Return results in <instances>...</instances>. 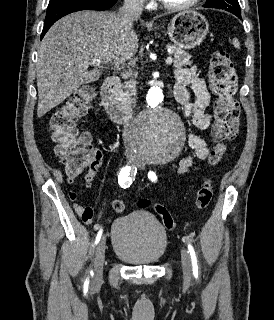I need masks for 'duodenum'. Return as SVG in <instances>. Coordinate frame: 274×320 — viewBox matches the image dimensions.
<instances>
[{
	"mask_svg": "<svg viewBox=\"0 0 274 320\" xmlns=\"http://www.w3.org/2000/svg\"><path fill=\"white\" fill-rule=\"evenodd\" d=\"M121 79L117 75L109 76L102 85L101 102L106 113L116 123H125L132 116L130 109L123 106L118 98Z\"/></svg>",
	"mask_w": 274,
	"mask_h": 320,
	"instance_id": "410a0bca",
	"label": "duodenum"
}]
</instances>
